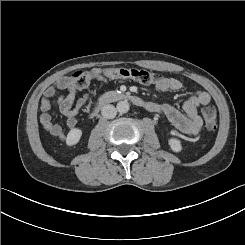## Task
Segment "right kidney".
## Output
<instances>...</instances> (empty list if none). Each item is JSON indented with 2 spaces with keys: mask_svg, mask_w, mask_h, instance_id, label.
I'll return each instance as SVG.
<instances>
[{
  "mask_svg": "<svg viewBox=\"0 0 245 245\" xmlns=\"http://www.w3.org/2000/svg\"><path fill=\"white\" fill-rule=\"evenodd\" d=\"M68 133L70 134V147H73L79 143L83 131L80 128H73Z\"/></svg>",
  "mask_w": 245,
  "mask_h": 245,
  "instance_id": "1",
  "label": "right kidney"
}]
</instances>
